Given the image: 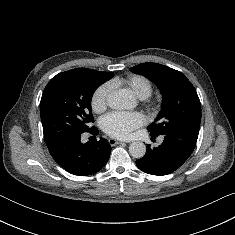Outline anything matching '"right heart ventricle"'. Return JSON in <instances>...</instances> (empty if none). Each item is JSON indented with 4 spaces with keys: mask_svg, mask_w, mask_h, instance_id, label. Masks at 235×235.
<instances>
[{
    "mask_svg": "<svg viewBox=\"0 0 235 235\" xmlns=\"http://www.w3.org/2000/svg\"><path fill=\"white\" fill-rule=\"evenodd\" d=\"M109 84L111 87H124L140 99L149 97L153 90L151 81L146 77L137 74L114 79Z\"/></svg>",
    "mask_w": 235,
    "mask_h": 235,
    "instance_id": "obj_1",
    "label": "right heart ventricle"
}]
</instances>
